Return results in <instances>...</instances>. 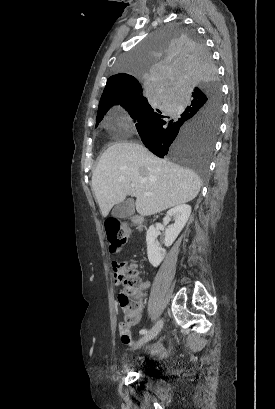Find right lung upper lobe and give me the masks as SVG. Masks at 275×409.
<instances>
[{
  "instance_id": "1",
  "label": "right lung upper lobe",
  "mask_w": 275,
  "mask_h": 409,
  "mask_svg": "<svg viewBox=\"0 0 275 409\" xmlns=\"http://www.w3.org/2000/svg\"><path fill=\"white\" fill-rule=\"evenodd\" d=\"M143 89L139 81L128 74H117L108 78L101 96L98 112L114 105L116 102L134 96H142Z\"/></svg>"
}]
</instances>
